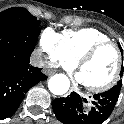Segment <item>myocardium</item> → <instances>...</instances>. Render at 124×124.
Wrapping results in <instances>:
<instances>
[{"label":"myocardium","instance_id":"1","mask_svg":"<svg viewBox=\"0 0 124 124\" xmlns=\"http://www.w3.org/2000/svg\"><path fill=\"white\" fill-rule=\"evenodd\" d=\"M112 47L116 50L117 53V67L114 72L112 78L105 84L99 86H89L85 85V88L93 93H103L111 88H113L121 79L123 69H124V53L122 49L112 41H106L95 44L92 48H90L78 61H77V69L80 70L82 67L93 59L102 49Z\"/></svg>","mask_w":124,"mask_h":124}]
</instances>
